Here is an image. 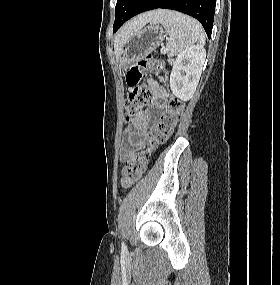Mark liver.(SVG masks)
<instances>
[{"label": "liver", "mask_w": 280, "mask_h": 285, "mask_svg": "<svg viewBox=\"0 0 280 285\" xmlns=\"http://www.w3.org/2000/svg\"><path fill=\"white\" fill-rule=\"evenodd\" d=\"M156 11L141 14L127 22L117 33L114 40V49L116 57L119 56L123 43L135 32L140 30L148 22L156 17Z\"/></svg>", "instance_id": "obj_1"}]
</instances>
